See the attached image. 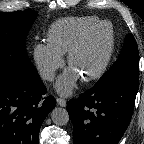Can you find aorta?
I'll return each instance as SVG.
<instances>
[{"label":"aorta","instance_id":"762f6f07","mask_svg":"<svg viewBox=\"0 0 144 144\" xmlns=\"http://www.w3.org/2000/svg\"><path fill=\"white\" fill-rule=\"evenodd\" d=\"M51 119L56 125H65L69 121V114L66 109L64 108H55L51 112Z\"/></svg>","mask_w":144,"mask_h":144}]
</instances>
